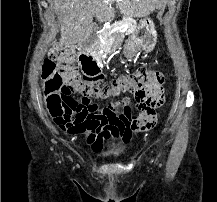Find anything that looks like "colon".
Masks as SVG:
<instances>
[{"instance_id": "1", "label": "colon", "mask_w": 217, "mask_h": 202, "mask_svg": "<svg viewBox=\"0 0 217 202\" xmlns=\"http://www.w3.org/2000/svg\"><path fill=\"white\" fill-rule=\"evenodd\" d=\"M76 47H51L46 49V59L42 64H48L39 70L42 75V86L45 90L44 103H48L49 117H55L56 125L69 133L80 134L87 130L102 131H145L154 125L152 109L165 101L164 84L167 74L160 71L137 69L125 80L115 83L103 94L110 99V108L100 107L91 103L89 90L78 89V83L72 78H80L77 59H74ZM59 60V63H55ZM123 87L134 95L136 107L147 110L148 114L141 117L132 115L125 102L127 97H118V90ZM76 92L81 95L74 96ZM93 96H100V91H93Z\"/></svg>"}]
</instances>
